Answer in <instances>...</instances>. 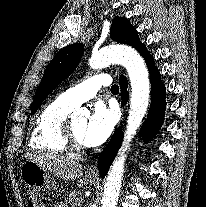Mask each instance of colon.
Masks as SVG:
<instances>
[{"label":"colon","mask_w":206,"mask_h":207,"mask_svg":"<svg viewBox=\"0 0 206 207\" xmlns=\"http://www.w3.org/2000/svg\"><path fill=\"white\" fill-rule=\"evenodd\" d=\"M28 207H45L46 198L39 192L32 190L27 194Z\"/></svg>","instance_id":"5ec220e1"}]
</instances>
